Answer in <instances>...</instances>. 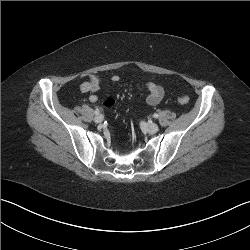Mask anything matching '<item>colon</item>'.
<instances>
[{
	"mask_svg": "<svg viewBox=\"0 0 250 250\" xmlns=\"http://www.w3.org/2000/svg\"><path fill=\"white\" fill-rule=\"evenodd\" d=\"M189 100H190V98H189V96H187V95H181V96L178 97V101H179L180 103H182V104L188 103ZM104 104H105L106 106H111V105L114 104V101H113L112 99H108V100L105 101Z\"/></svg>",
	"mask_w": 250,
	"mask_h": 250,
	"instance_id": "1",
	"label": "colon"
}]
</instances>
